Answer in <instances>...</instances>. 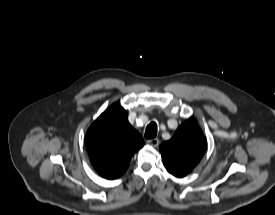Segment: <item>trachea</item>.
I'll return each mask as SVG.
<instances>
[{"instance_id": "1", "label": "trachea", "mask_w": 275, "mask_h": 215, "mask_svg": "<svg viewBox=\"0 0 275 215\" xmlns=\"http://www.w3.org/2000/svg\"><path fill=\"white\" fill-rule=\"evenodd\" d=\"M157 135V124L155 122L150 123L145 131V137L147 139H152Z\"/></svg>"}]
</instances>
